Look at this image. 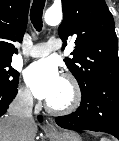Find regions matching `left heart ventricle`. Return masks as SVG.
<instances>
[{
  "label": "left heart ventricle",
  "mask_w": 119,
  "mask_h": 141,
  "mask_svg": "<svg viewBox=\"0 0 119 141\" xmlns=\"http://www.w3.org/2000/svg\"><path fill=\"white\" fill-rule=\"evenodd\" d=\"M71 90L69 85L62 79L55 94L48 100L54 107H61L69 103Z\"/></svg>",
  "instance_id": "b2bd125f"
}]
</instances>
